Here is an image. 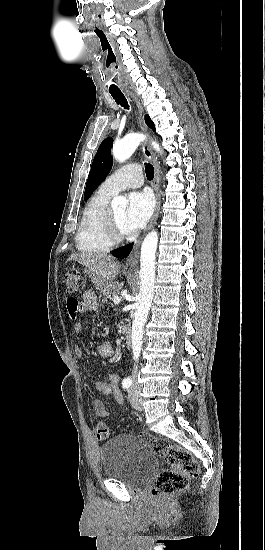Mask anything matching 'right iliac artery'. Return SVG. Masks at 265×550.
<instances>
[{
    "instance_id": "1",
    "label": "right iliac artery",
    "mask_w": 265,
    "mask_h": 550,
    "mask_svg": "<svg viewBox=\"0 0 265 550\" xmlns=\"http://www.w3.org/2000/svg\"><path fill=\"white\" fill-rule=\"evenodd\" d=\"M131 386V380L129 378H125L122 381V388L128 389Z\"/></svg>"
}]
</instances>
